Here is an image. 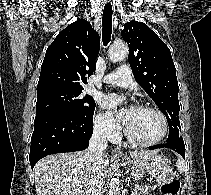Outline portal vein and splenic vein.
I'll return each instance as SVG.
<instances>
[{"label":"portal vein and splenic vein","instance_id":"obj_1","mask_svg":"<svg viewBox=\"0 0 211 195\" xmlns=\"http://www.w3.org/2000/svg\"><path fill=\"white\" fill-rule=\"evenodd\" d=\"M136 190H133L132 192H131V195H136Z\"/></svg>","mask_w":211,"mask_h":195}]
</instances>
